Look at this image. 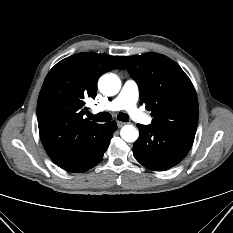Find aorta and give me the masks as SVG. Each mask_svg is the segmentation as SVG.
I'll list each match as a JSON object with an SVG mask.
<instances>
[{"instance_id":"aorta-1","label":"aorta","mask_w":233,"mask_h":233,"mask_svg":"<svg viewBox=\"0 0 233 233\" xmlns=\"http://www.w3.org/2000/svg\"><path fill=\"white\" fill-rule=\"evenodd\" d=\"M98 87L103 95L113 96L119 92L121 81L115 74H105L100 77ZM120 135L126 142H135L138 139L139 132L133 125H125L121 129Z\"/></svg>"}]
</instances>
